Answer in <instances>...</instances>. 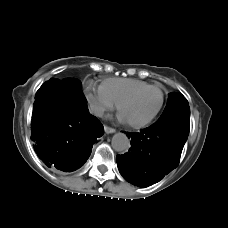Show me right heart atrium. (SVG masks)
I'll list each match as a JSON object with an SVG mask.
<instances>
[{
  "mask_svg": "<svg viewBox=\"0 0 228 228\" xmlns=\"http://www.w3.org/2000/svg\"><path fill=\"white\" fill-rule=\"evenodd\" d=\"M86 98L92 111L97 115L112 110L114 103L105 95L102 88L94 89L90 84L86 87Z\"/></svg>",
  "mask_w": 228,
  "mask_h": 228,
  "instance_id": "right-heart-atrium-1",
  "label": "right heart atrium"
}]
</instances>
